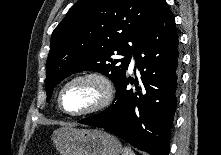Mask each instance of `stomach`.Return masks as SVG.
<instances>
[{
	"mask_svg": "<svg viewBox=\"0 0 221 155\" xmlns=\"http://www.w3.org/2000/svg\"><path fill=\"white\" fill-rule=\"evenodd\" d=\"M61 155H121L122 146L113 135L99 129L61 127L53 134Z\"/></svg>",
	"mask_w": 221,
	"mask_h": 155,
	"instance_id": "1",
	"label": "stomach"
}]
</instances>
